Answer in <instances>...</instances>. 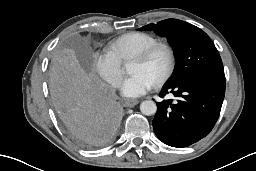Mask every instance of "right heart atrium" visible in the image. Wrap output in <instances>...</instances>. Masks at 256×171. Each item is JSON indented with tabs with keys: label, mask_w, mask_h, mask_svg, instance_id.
Wrapping results in <instances>:
<instances>
[{
	"label": "right heart atrium",
	"mask_w": 256,
	"mask_h": 171,
	"mask_svg": "<svg viewBox=\"0 0 256 171\" xmlns=\"http://www.w3.org/2000/svg\"><path fill=\"white\" fill-rule=\"evenodd\" d=\"M94 71L111 87H118L122 79V63L111 52L95 53L92 57Z\"/></svg>",
	"instance_id": "d8ad5b80"
}]
</instances>
